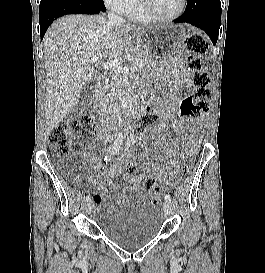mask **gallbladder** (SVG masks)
I'll return each instance as SVG.
<instances>
[{
    "mask_svg": "<svg viewBox=\"0 0 265 273\" xmlns=\"http://www.w3.org/2000/svg\"><path fill=\"white\" fill-rule=\"evenodd\" d=\"M94 88H95L94 82H89L88 84L85 85L82 93L80 94L77 105L66 114V118L70 119L88 109L89 102L94 92Z\"/></svg>",
    "mask_w": 265,
    "mask_h": 273,
    "instance_id": "obj_1",
    "label": "gallbladder"
}]
</instances>
